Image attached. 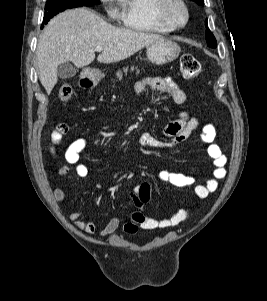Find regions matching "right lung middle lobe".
<instances>
[{
    "label": "right lung middle lobe",
    "mask_w": 267,
    "mask_h": 301,
    "mask_svg": "<svg viewBox=\"0 0 267 301\" xmlns=\"http://www.w3.org/2000/svg\"><path fill=\"white\" fill-rule=\"evenodd\" d=\"M99 3L100 0H47L42 27L44 24H47L51 18L64 10L82 6H93Z\"/></svg>",
    "instance_id": "obj_1"
}]
</instances>
